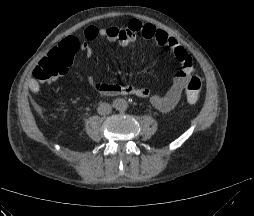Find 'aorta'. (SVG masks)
Wrapping results in <instances>:
<instances>
[{"instance_id": "aorta-1", "label": "aorta", "mask_w": 254, "mask_h": 216, "mask_svg": "<svg viewBox=\"0 0 254 216\" xmlns=\"http://www.w3.org/2000/svg\"><path fill=\"white\" fill-rule=\"evenodd\" d=\"M113 106L118 111H125L128 107V102L123 98H118L114 101Z\"/></svg>"}]
</instances>
